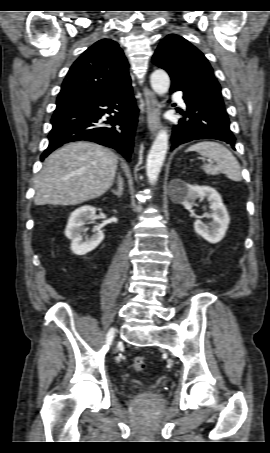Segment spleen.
Segmentation results:
<instances>
[{
	"label": "spleen",
	"mask_w": 270,
	"mask_h": 453,
	"mask_svg": "<svg viewBox=\"0 0 270 453\" xmlns=\"http://www.w3.org/2000/svg\"><path fill=\"white\" fill-rule=\"evenodd\" d=\"M195 151L202 156L208 157L216 162V165L205 164L202 170L206 174H225L233 181L242 180L240 165L235 156L222 144L213 141H204L190 146L186 152Z\"/></svg>",
	"instance_id": "1"
}]
</instances>
